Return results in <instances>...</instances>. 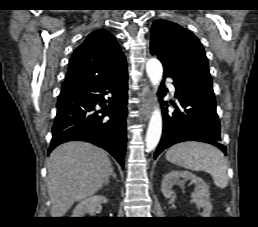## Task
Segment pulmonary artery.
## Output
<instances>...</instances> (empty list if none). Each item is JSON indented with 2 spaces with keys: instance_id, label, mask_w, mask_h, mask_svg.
<instances>
[{
  "instance_id": "pulmonary-artery-1",
  "label": "pulmonary artery",
  "mask_w": 258,
  "mask_h": 227,
  "mask_svg": "<svg viewBox=\"0 0 258 227\" xmlns=\"http://www.w3.org/2000/svg\"><path fill=\"white\" fill-rule=\"evenodd\" d=\"M170 91L174 94L175 93V88L173 85H170Z\"/></svg>"
}]
</instances>
